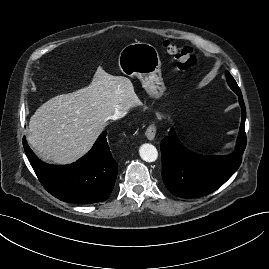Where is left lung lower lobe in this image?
Here are the masks:
<instances>
[{"instance_id": "obj_1", "label": "left lung lower lobe", "mask_w": 269, "mask_h": 269, "mask_svg": "<svg viewBox=\"0 0 269 269\" xmlns=\"http://www.w3.org/2000/svg\"><path fill=\"white\" fill-rule=\"evenodd\" d=\"M242 108L236 150L228 156H204L187 150L172 129L160 145L162 178L167 189L182 198L207 195L222 186L239 168L246 147V110L241 91L235 92Z\"/></svg>"}]
</instances>
